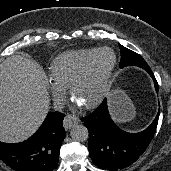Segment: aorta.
I'll use <instances>...</instances> for the list:
<instances>
[{"instance_id": "obj_1", "label": "aorta", "mask_w": 171, "mask_h": 171, "mask_svg": "<svg viewBox=\"0 0 171 171\" xmlns=\"http://www.w3.org/2000/svg\"><path fill=\"white\" fill-rule=\"evenodd\" d=\"M70 136L76 142H83L88 139L89 132L83 124H75L70 131Z\"/></svg>"}]
</instances>
